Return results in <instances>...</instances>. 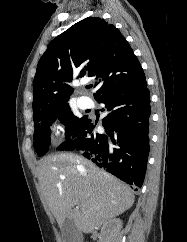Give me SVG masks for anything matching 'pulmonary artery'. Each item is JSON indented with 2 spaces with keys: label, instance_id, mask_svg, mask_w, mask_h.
<instances>
[{
  "label": "pulmonary artery",
  "instance_id": "e3ab8cb5",
  "mask_svg": "<svg viewBox=\"0 0 187 242\" xmlns=\"http://www.w3.org/2000/svg\"><path fill=\"white\" fill-rule=\"evenodd\" d=\"M90 100L88 99V98H85V97H81L80 99H79V105H80V107L81 108H83V109H86V108H88L89 106H90Z\"/></svg>",
  "mask_w": 187,
  "mask_h": 242
}]
</instances>
